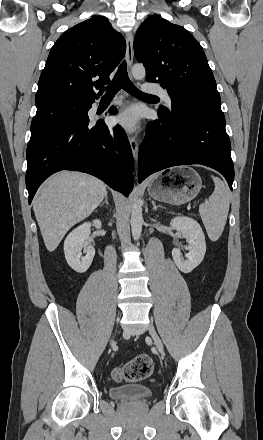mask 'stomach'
<instances>
[{"mask_svg": "<svg viewBox=\"0 0 263 440\" xmlns=\"http://www.w3.org/2000/svg\"><path fill=\"white\" fill-rule=\"evenodd\" d=\"M201 188V177L194 169L178 167L154 176L147 190L155 200L181 205L194 199Z\"/></svg>", "mask_w": 263, "mask_h": 440, "instance_id": "obj_1", "label": "stomach"}]
</instances>
